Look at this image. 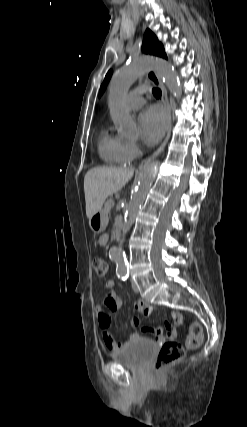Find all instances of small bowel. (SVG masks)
<instances>
[{"mask_svg":"<svg viewBox=\"0 0 247 427\" xmlns=\"http://www.w3.org/2000/svg\"><path fill=\"white\" fill-rule=\"evenodd\" d=\"M108 240V236L104 235L100 238V244L105 245ZM115 283L113 280H108L105 283V287L109 290L113 289ZM121 306L120 298L114 293L109 292L102 302L97 305V316L99 326L102 329V336L105 342L106 347L111 351H116L126 346L127 344L137 340L139 338V334L137 332H131L127 336L125 342L122 344H117L113 335L109 331V327L111 325V311H117ZM135 309L142 313L144 316H149L152 313V307L150 304L144 300H138L135 303ZM171 319L173 324L182 325L184 322L183 316L181 313L173 311L171 313ZM134 327H140L141 321L138 317H134L131 321ZM172 323L165 321L163 327H155V328H143L144 332H151L154 335V338L158 342H167L173 341L176 336L175 328Z\"/></svg>","mask_w":247,"mask_h":427,"instance_id":"c3829d8e","label":"small bowel"}]
</instances>
